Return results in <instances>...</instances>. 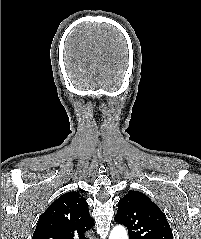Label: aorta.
Returning <instances> with one entry per match:
<instances>
[{
    "label": "aorta",
    "mask_w": 201,
    "mask_h": 239,
    "mask_svg": "<svg viewBox=\"0 0 201 239\" xmlns=\"http://www.w3.org/2000/svg\"><path fill=\"white\" fill-rule=\"evenodd\" d=\"M109 239H128L127 231L123 226H116L112 229Z\"/></svg>",
    "instance_id": "762f6f07"
}]
</instances>
